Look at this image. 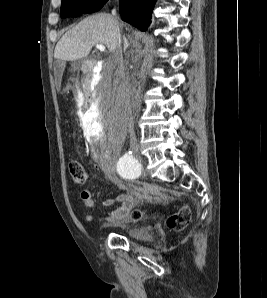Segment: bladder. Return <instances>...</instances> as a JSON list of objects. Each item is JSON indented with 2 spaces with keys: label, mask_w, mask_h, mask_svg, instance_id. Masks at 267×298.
Instances as JSON below:
<instances>
[{
  "label": "bladder",
  "mask_w": 267,
  "mask_h": 298,
  "mask_svg": "<svg viewBox=\"0 0 267 298\" xmlns=\"http://www.w3.org/2000/svg\"><path fill=\"white\" fill-rule=\"evenodd\" d=\"M124 234L127 237L136 240H150L152 238V231L150 227L144 226L140 228H126Z\"/></svg>",
  "instance_id": "1"
}]
</instances>
